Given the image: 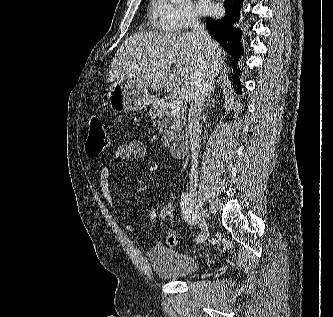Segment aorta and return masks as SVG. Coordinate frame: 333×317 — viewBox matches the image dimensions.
Here are the masks:
<instances>
[{"mask_svg": "<svg viewBox=\"0 0 333 317\" xmlns=\"http://www.w3.org/2000/svg\"><path fill=\"white\" fill-rule=\"evenodd\" d=\"M171 3H180L182 0H170Z\"/></svg>", "mask_w": 333, "mask_h": 317, "instance_id": "1", "label": "aorta"}]
</instances>
